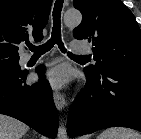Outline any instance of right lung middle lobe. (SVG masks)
I'll return each mask as SVG.
<instances>
[{
	"label": "right lung middle lobe",
	"mask_w": 141,
	"mask_h": 139,
	"mask_svg": "<svg viewBox=\"0 0 141 139\" xmlns=\"http://www.w3.org/2000/svg\"><path fill=\"white\" fill-rule=\"evenodd\" d=\"M18 62V57L0 56V73L21 71Z\"/></svg>",
	"instance_id": "right-lung-middle-lobe-1"
}]
</instances>
